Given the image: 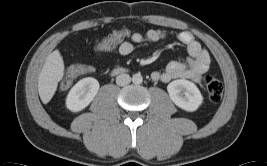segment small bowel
I'll return each mask as SVG.
<instances>
[{
    "label": "small bowel",
    "mask_w": 267,
    "mask_h": 166,
    "mask_svg": "<svg viewBox=\"0 0 267 166\" xmlns=\"http://www.w3.org/2000/svg\"><path fill=\"white\" fill-rule=\"evenodd\" d=\"M129 36L126 41L118 43V52L122 56L131 54L135 45L142 42H157L167 39L166 32L158 29H150L145 33L133 32L127 30ZM180 43L186 46L188 56L184 61L170 62L163 72L154 71L151 78L154 81L168 83L174 79H188L194 82H200L202 75L208 70L210 56L206 49L195 40L194 36L188 31H182L177 35ZM70 71H74L76 76L83 73L91 72L92 69L87 67L85 71L80 70L79 66H74Z\"/></svg>",
    "instance_id": "c3829d8e"
}]
</instances>
